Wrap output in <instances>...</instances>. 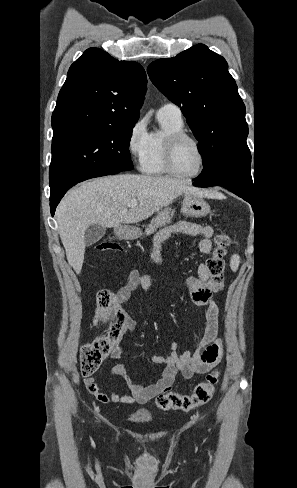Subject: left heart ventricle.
Segmentation results:
<instances>
[{
    "label": "left heart ventricle",
    "mask_w": 297,
    "mask_h": 488,
    "mask_svg": "<svg viewBox=\"0 0 297 488\" xmlns=\"http://www.w3.org/2000/svg\"><path fill=\"white\" fill-rule=\"evenodd\" d=\"M200 164V154L191 141L182 142L175 153V167L182 174L194 173Z\"/></svg>",
    "instance_id": "obj_1"
}]
</instances>
